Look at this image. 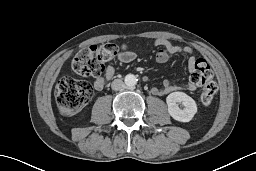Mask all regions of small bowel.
<instances>
[{"mask_svg":"<svg viewBox=\"0 0 256 171\" xmlns=\"http://www.w3.org/2000/svg\"><path fill=\"white\" fill-rule=\"evenodd\" d=\"M155 45L158 46L156 53V61L160 64L168 62L169 58L173 54L182 53L189 56L188 66L193 68L195 63L194 51L190 46H181L171 43L170 41L159 38L155 40ZM136 55L132 51L123 52L118 56V60L122 63H130L135 59ZM115 75V69L113 66H107L104 70V75L97 77L93 81V87L97 91H101ZM195 90V86L191 83L187 85H176L170 81H165L162 87H152L151 92L155 95H164L173 91H187L192 92Z\"/></svg>","mask_w":256,"mask_h":171,"instance_id":"small-bowel-1","label":"small bowel"}]
</instances>
